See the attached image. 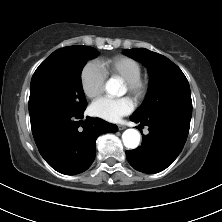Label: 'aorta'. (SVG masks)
Returning <instances> with one entry per match:
<instances>
[{
  "mask_svg": "<svg viewBox=\"0 0 222 222\" xmlns=\"http://www.w3.org/2000/svg\"><path fill=\"white\" fill-rule=\"evenodd\" d=\"M120 84L113 79L107 81L106 92L112 96L119 95ZM122 140L126 148L135 149L140 143V134L136 129H127L122 134Z\"/></svg>",
  "mask_w": 222,
  "mask_h": 222,
  "instance_id": "obj_1",
  "label": "aorta"
}]
</instances>
